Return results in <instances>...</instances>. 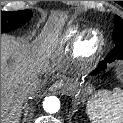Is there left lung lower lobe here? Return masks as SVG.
I'll return each mask as SVG.
<instances>
[{"instance_id":"obj_1","label":"left lung lower lobe","mask_w":123,"mask_h":123,"mask_svg":"<svg viewBox=\"0 0 123 123\" xmlns=\"http://www.w3.org/2000/svg\"><path fill=\"white\" fill-rule=\"evenodd\" d=\"M108 62H112V61L105 59L104 61L100 62L99 65H98V68L95 69V70L92 72L91 75L96 76L98 73L104 71V70L106 69V67H107V63H108Z\"/></svg>"}]
</instances>
